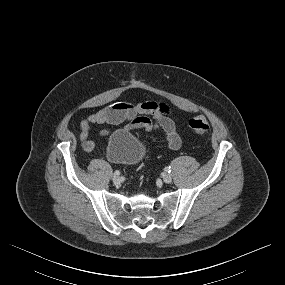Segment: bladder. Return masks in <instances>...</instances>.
Returning <instances> with one entry per match:
<instances>
[{
    "label": "bladder",
    "mask_w": 285,
    "mask_h": 285,
    "mask_svg": "<svg viewBox=\"0 0 285 285\" xmlns=\"http://www.w3.org/2000/svg\"><path fill=\"white\" fill-rule=\"evenodd\" d=\"M106 153L111 161L136 165L144 158L146 149L144 144L133 134L118 130L109 135Z\"/></svg>",
    "instance_id": "31cf9c89"
}]
</instances>
